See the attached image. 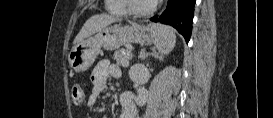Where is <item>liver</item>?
<instances>
[{
  "mask_svg": "<svg viewBox=\"0 0 273 118\" xmlns=\"http://www.w3.org/2000/svg\"><path fill=\"white\" fill-rule=\"evenodd\" d=\"M117 20L118 18L108 14H99L92 16L85 22L78 35L75 37L73 43H79L83 39L95 34L100 29L116 22Z\"/></svg>",
  "mask_w": 273,
  "mask_h": 118,
  "instance_id": "6515ba94",
  "label": "liver"
}]
</instances>
